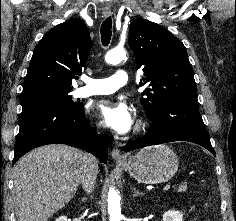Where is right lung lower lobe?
I'll list each match as a JSON object with an SVG mask.
<instances>
[{"label": "right lung lower lobe", "instance_id": "right-lung-lower-lobe-1", "mask_svg": "<svg viewBox=\"0 0 236 221\" xmlns=\"http://www.w3.org/2000/svg\"><path fill=\"white\" fill-rule=\"evenodd\" d=\"M54 143L82 148L104 163L107 160V142L86 120L83 105L75 110L35 105L22 109L12 165L28 151Z\"/></svg>", "mask_w": 236, "mask_h": 221}]
</instances>
